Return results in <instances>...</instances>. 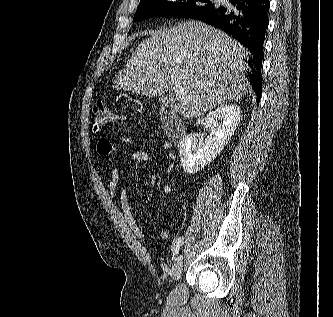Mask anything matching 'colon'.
<instances>
[{"label": "colon", "instance_id": "colon-1", "mask_svg": "<svg viewBox=\"0 0 333 317\" xmlns=\"http://www.w3.org/2000/svg\"><path fill=\"white\" fill-rule=\"evenodd\" d=\"M94 113L97 116V127L100 125H109L116 121H126V115L113 112L111 109L101 103H98L94 107Z\"/></svg>", "mask_w": 333, "mask_h": 317}]
</instances>
